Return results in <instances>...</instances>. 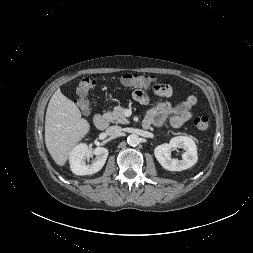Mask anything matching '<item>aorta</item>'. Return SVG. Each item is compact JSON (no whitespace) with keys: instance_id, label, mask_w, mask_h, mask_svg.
Returning a JSON list of instances; mask_svg holds the SVG:
<instances>
[{"instance_id":"aorta-1","label":"aorta","mask_w":253,"mask_h":253,"mask_svg":"<svg viewBox=\"0 0 253 253\" xmlns=\"http://www.w3.org/2000/svg\"><path fill=\"white\" fill-rule=\"evenodd\" d=\"M127 142L131 146H136L140 143V137L136 134H131L127 137Z\"/></svg>"}]
</instances>
